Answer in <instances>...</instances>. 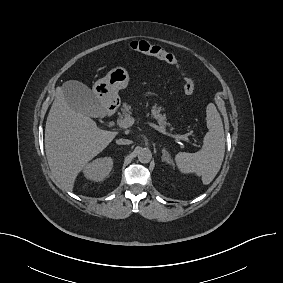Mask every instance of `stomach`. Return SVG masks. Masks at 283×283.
Returning <instances> with one entry per match:
<instances>
[{
    "label": "stomach",
    "mask_w": 283,
    "mask_h": 283,
    "mask_svg": "<svg viewBox=\"0 0 283 283\" xmlns=\"http://www.w3.org/2000/svg\"><path fill=\"white\" fill-rule=\"evenodd\" d=\"M129 74L124 67H116L110 70L104 78L99 79L93 85V93L102 107H108L117 103L118 91L127 87Z\"/></svg>",
    "instance_id": "obj_1"
}]
</instances>
